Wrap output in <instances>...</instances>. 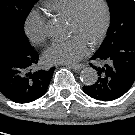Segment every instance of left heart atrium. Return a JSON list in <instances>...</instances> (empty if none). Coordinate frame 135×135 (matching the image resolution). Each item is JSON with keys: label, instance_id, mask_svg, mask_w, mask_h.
Here are the masks:
<instances>
[{"label": "left heart atrium", "instance_id": "1", "mask_svg": "<svg viewBox=\"0 0 135 135\" xmlns=\"http://www.w3.org/2000/svg\"><path fill=\"white\" fill-rule=\"evenodd\" d=\"M88 52V42L79 35L53 42L44 52L48 64H75Z\"/></svg>", "mask_w": 135, "mask_h": 135}]
</instances>
